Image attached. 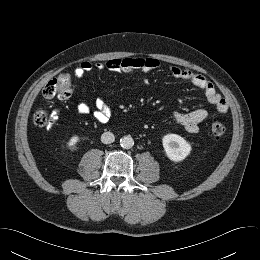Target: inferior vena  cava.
Here are the masks:
<instances>
[{"instance_id": "602c4592", "label": "inferior vena cava", "mask_w": 260, "mask_h": 260, "mask_svg": "<svg viewBox=\"0 0 260 260\" xmlns=\"http://www.w3.org/2000/svg\"><path fill=\"white\" fill-rule=\"evenodd\" d=\"M114 140H115L114 134L111 133V132H104V133L101 135V141H102V143H104V144L113 143Z\"/></svg>"}]
</instances>
